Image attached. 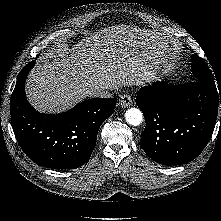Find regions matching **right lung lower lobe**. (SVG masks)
Instances as JSON below:
<instances>
[{"instance_id": "1", "label": "right lung lower lobe", "mask_w": 221, "mask_h": 221, "mask_svg": "<svg viewBox=\"0 0 221 221\" xmlns=\"http://www.w3.org/2000/svg\"><path fill=\"white\" fill-rule=\"evenodd\" d=\"M35 61L19 73L10 100L15 137L36 164L74 169L85 164L96 145L101 124L114 112L117 98H93L57 115L36 111L27 101L25 80Z\"/></svg>"}]
</instances>
